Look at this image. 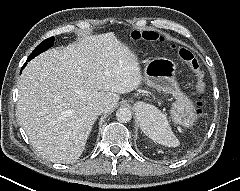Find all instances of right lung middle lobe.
Listing matches in <instances>:
<instances>
[{"label": "right lung middle lobe", "instance_id": "1", "mask_svg": "<svg viewBox=\"0 0 240 191\" xmlns=\"http://www.w3.org/2000/svg\"><path fill=\"white\" fill-rule=\"evenodd\" d=\"M54 37H50L46 40H44L42 43H40L34 51L31 53V55L28 57L27 61H30L35 56L39 55L40 53L46 51L48 48H50L53 45Z\"/></svg>", "mask_w": 240, "mask_h": 191}]
</instances>
